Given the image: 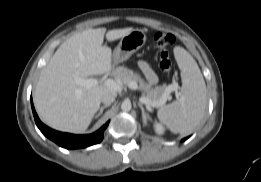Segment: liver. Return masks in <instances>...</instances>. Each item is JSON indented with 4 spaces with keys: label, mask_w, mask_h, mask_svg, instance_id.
I'll use <instances>...</instances> for the list:
<instances>
[{
    "label": "liver",
    "mask_w": 261,
    "mask_h": 182,
    "mask_svg": "<svg viewBox=\"0 0 261 182\" xmlns=\"http://www.w3.org/2000/svg\"><path fill=\"white\" fill-rule=\"evenodd\" d=\"M133 28L87 29L63 42L41 71L34 92L36 110L53 129L71 133H83L98 111L101 97L117 95L105 85L86 87L75 82L76 77L110 72L111 50L102 46L104 36L111 42L122 38Z\"/></svg>",
    "instance_id": "obj_1"
}]
</instances>
